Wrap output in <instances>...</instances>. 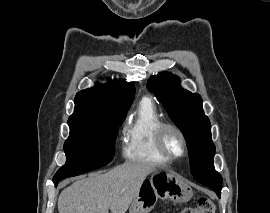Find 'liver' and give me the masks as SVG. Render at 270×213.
I'll return each mask as SVG.
<instances>
[{
	"mask_svg": "<svg viewBox=\"0 0 270 213\" xmlns=\"http://www.w3.org/2000/svg\"><path fill=\"white\" fill-rule=\"evenodd\" d=\"M151 163H124L105 174L75 181L58 198L59 213H126L146 177L156 170Z\"/></svg>",
	"mask_w": 270,
	"mask_h": 213,
	"instance_id": "6515ba94",
	"label": "liver"
}]
</instances>
